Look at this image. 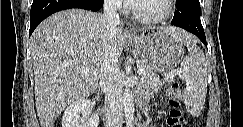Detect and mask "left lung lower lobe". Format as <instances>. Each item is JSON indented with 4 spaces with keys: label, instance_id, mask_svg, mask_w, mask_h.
Masks as SVG:
<instances>
[{
    "label": "left lung lower lobe",
    "instance_id": "left-lung-lower-lobe-1",
    "mask_svg": "<svg viewBox=\"0 0 243 127\" xmlns=\"http://www.w3.org/2000/svg\"><path fill=\"white\" fill-rule=\"evenodd\" d=\"M171 25L181 27L195 34L207 46L204 29L200 20L199 0H179Z\"/></svg>",
    "mask_w": 243,
    "mask_h": 127
}]
</instances>
